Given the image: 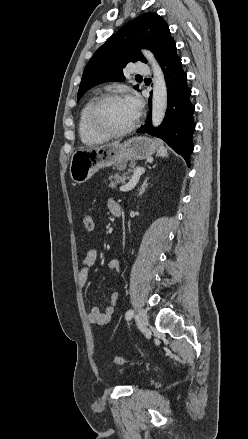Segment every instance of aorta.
<instances>
[{
    "instance_id": "1",
    "label": "aorta",
    "mask_w": 248,
    "mask_h": 439,
    "mask_svg": "<svg viewBox=\"0 0 248 439\" xmlns=\"http://www.w3.org/2000/svg\"><path fill=\"white\" fill-rule=\"evenodd\" d=\"M153 70L152 124L158 126L164 119L167 108V87L164 74L150 51L142 50Z\"/></svg>"
}]
</instances>
